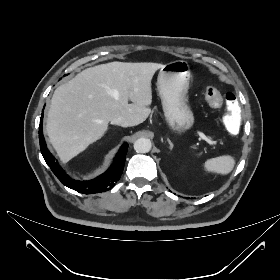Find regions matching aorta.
<instances>
[{"mask_svg": "<svg viewBox=\"0 0 280 280\" xmlns=\"http://www.w3.org/2000/svg\"><path fill=\"white\" fill-rule=\"evenodd\" d=\"M151 141L148 138H139L134 142V150L137 153H148L151 150Z\"/></svg>", "mask_w": 280, "mask_h": 280, "instance_id": "762f6f07", "label": "aorta"}]
</instances>
